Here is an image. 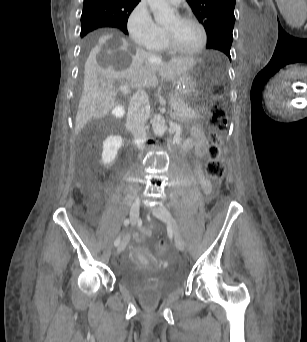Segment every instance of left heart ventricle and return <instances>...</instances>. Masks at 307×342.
I'll list each match as a JSON object with an SVG mask.
<instances>
[{"label":"left heart ventricle","instance_id":"1","mask_svg":"<svg viewBox=\"0 0 307 342\" xmlns=\"http://www.w3.org/2000/svg\"><path fill=\"white\" fill-rule=\"evenodd\" d=\"M170 43L180 50H193L202 41V31L195 22H180L178 18L162 28Z\"/></svg>","mask_w":307,"mask_h":342}]
</instances>
